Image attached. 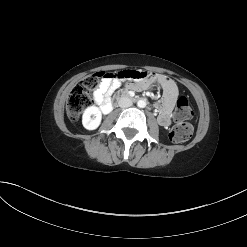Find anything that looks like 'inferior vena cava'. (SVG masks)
Returning a JSON list of instances; mask_svg holds the SVG:
<instances>
[{"label": "inferior vena cava", "instance_id": "obj_1", "mask_svg": "<svg viewBox=\"0 0 247 247\" xmlns=\"http://www.w3.org/2000/svg\"><path fill=\"white\" fill-rule=\"evenodd\" d=\"M118 105L121 108L130 107V106H132V100L128 96H122V97H120V99L118 101Z\"/></svg>", "mask_w": 247, "mask_h": 247}]
</instances>
